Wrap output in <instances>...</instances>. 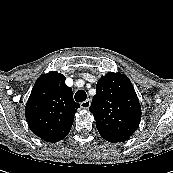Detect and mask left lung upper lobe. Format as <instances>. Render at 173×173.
I'll return each mask as SVG.
<instances>
[{"label":"left lung upper lobe","mask_w":173,"mask_h":173,"mask_svg":"<svg viewBox=\"0 0 173 173\" xmlns=\"http://www.w3.org/2000/svg\"><path fill=\"white\" fill-rule=\"evenodd\" d=\"M90 111L100 135L107 141H126L138 128L141 106L129 78L109 72L96 85Z\"/></svg>","instance_id":"1"}]
</instances>
